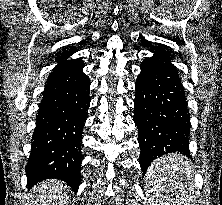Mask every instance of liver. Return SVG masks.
Masks as SVG:
<instances>
[{
    "mask_svg": "<svg viewBox=\"0 0 222 205\" xmlns=\"http://www.w3.org/2000/svg\"><path fill=\"white\" fill-rule=\"evenodd\" d=\"M32 205H67L70 188L60 180H46L33 188Z\"/></svg>",
    "mask_w": 222,
    "mask_h": 205,
    "instance_id": "6515ba94",
    "label": "liver"
}]
</instances>
